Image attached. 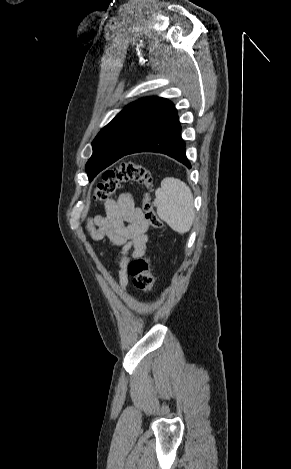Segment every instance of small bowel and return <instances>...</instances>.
I'll list each match as a JSON object with an SVG mask.
<instances>
[{
	"mask_svg": "<svg viewBox=\"0 0 291 469\" xmlns=\"http://www.w3.org/2000/svg\"><path fill=\"white\" fill-rule=\"evenodd\" d=\"M148 223L144 213L136 206L130 193H122L117 200L105 203V215H95L87 222V230L96 241L109 239L121 246L122 258L118 275L121 289L128 287L127 265L130 259L143 257L146 253L149 237Z\"/></svg>",
	"mask_w": 291,
	"mask_h": 469,
	"instance_id": "1",
	"label": "small bowel"
}]
</instances>
